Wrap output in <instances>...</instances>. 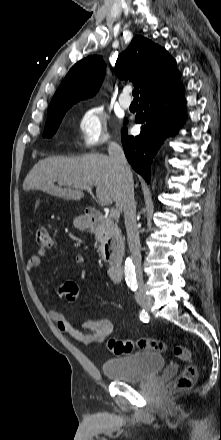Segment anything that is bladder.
I'll return each mask as SVG.
<instances>
[{
	"mask_svg": "<svg viewBox=\"0 0 221 440\" xmlns=\"http://www.w3.org/2000/svg\"><path fill=\"white\" fill-rule=\"evenodd\" d=\"M165 364L162 354L140 351L106 359L102 363V371L111 380L138 383L159 374Z\"/></svg>",
	"mask_w": 221,
	"mask_h": 440,
	"instance_id": "31cf9c89",
	"label": "bladder"
}]
</instances>
